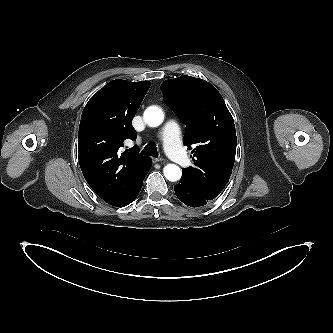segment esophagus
<instances>
[{
    "instance_id": "34e87169",
    "label": "esophagus",
    "mask_w": 333,
    "mask_h": 333,
    "mask_svg": "<svg viewBox=\"0 0 333 333\" xmlns=\"http://www.w3.org/2000/svg\"><path fill=\"white\" fill-rule=\"evenodd\" d=\"M163 160H164V159L161 158V157H158V158L152 157V161H153L154 163H156V162H161V161H163Z\"/></svg>"
}]
</instances>
